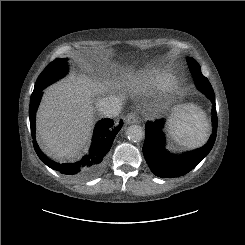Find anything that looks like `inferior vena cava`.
Wrapping results in <instances>:
<instances>
[{
  "instance_id": "obj_1",
  "label": "inferior vena cava",
  "mask_w": 245,
  "mask_h": 245,
  "mask_svg": "<svg viewBox=\"0 0 245 245\" xmlns=\"http://www.w3.org/2000/svg\"><path fill=\"white\" fill-rule=\"evenodd\" d=\"M98 111L105 117L113 118L118 116L122 109V100L115 96L101 98L96 103Z\"/></svg>"
}]
</instances>
